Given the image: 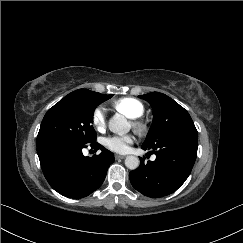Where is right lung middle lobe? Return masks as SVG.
<instances>
[{"label":"right lung middle lobe","mask_w":243,"mask_h":243,"mask_svg":"<svg viewBox=\"0 0 243 243\" xmlns=\"http://www.w3.org/2000/svg\"><path fill=\"white\" fill-rule=\"evenodd\" d=\"M112 96H65L45 114L36 145L49 142L86 145L95 142L97 136L92 126L94 109Z\"/></svg>","instance_id":"right-lung-middle-lobe-1"}]
</instances>
